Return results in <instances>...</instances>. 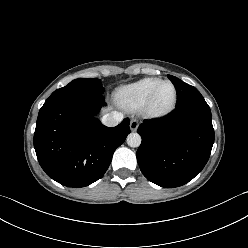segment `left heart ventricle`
<instances>
[{
  "label": "left heart ventricle",
  "instance_id": "obj_1",
  "mask_svg": "<svg viewBox=\"0 0 248 248\" xmlns=\"http://www.w3.org/2000/svg\"><path fill=\"white\" fill-rule=\"evenodd\" d=\"M173 96L174 91L171 85L165 84L161 86L153 100L152 109L155 111L166 109L172 103Z\"/></svg>",
  "mask_w": 248,
  "mask_h": 248
}]
</instances>
